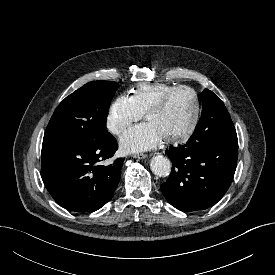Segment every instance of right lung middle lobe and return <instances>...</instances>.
<instances>
[{"mask_svg": "<svg viewBox=\"0 0 275 275\" xmlns=\"http://www.w3.org/2000/svg\"><path fill=\"white\" fill-rule=\"evenodd\" d=\"M118 87L113 81H92L67 96L51 117L43 143L95 142L110 135L106 118Z\"/></svg>", "mask_w": 275, "mask_h": 275, "instance_id": "dd1d6c3e", "label": "right lung middle lobe"}]
</instances>
